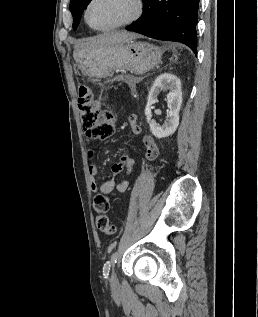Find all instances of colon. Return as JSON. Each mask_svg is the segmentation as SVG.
<instances>
[{
	"mask_svg": "<svg viewBox=\"0 0 258 317\" xmlns=\"http://www.w3.org/2000/svg\"><path fill=\"white\" fill-rule=\"evenodd\" d=\"M78 106L82 117V126L87 137L105 139L114 133V115L102 108L98 99L84 86L79 91ZM93 208L97 214L95 219L97 228L107 235L115 233L116 228L106 215L110 209L109 198L103 193L97 194L94 197Z\"/></svg>",
	"mask_w": 258,
	"mask_h": 317,
	"instance_id": "1",
	"label": "colon"
}]
</instances>
